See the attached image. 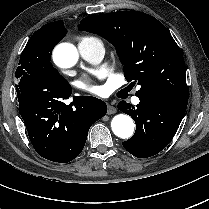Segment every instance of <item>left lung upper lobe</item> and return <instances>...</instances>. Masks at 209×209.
Wrapping results in <instances>:
<instances>
[{
    "label": "left lung upper lobe",
    "mask_w": 209,
    "mask_h": 209,
    "mask_svg": "<svg viewBox=\"0 0 209 209\" xmlns=\"http://www.w3.org/2000/svg\"><path fill=\"white\" fill-rule=\"evenodd\" d=\"M78 28L114 45L126 80L141 86L136 96L188 102L183 55L156 18L139 11H118L83 18Z\"/></svg>",
    "instance_id": "1"
}]
</instances>
